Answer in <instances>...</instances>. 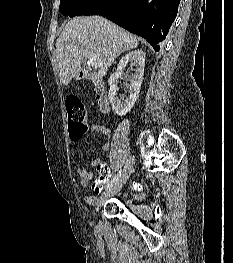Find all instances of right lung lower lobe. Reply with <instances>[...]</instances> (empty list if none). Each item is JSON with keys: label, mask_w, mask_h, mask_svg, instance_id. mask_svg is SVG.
<instances>
[{"label": "right lung lower lobe", "mask_w": 233, "mask_h": 263, "mask_svg": "<svg viewBox=\"0 0 233 263\" xmlns=\"http://www.w3.org/2000/svg\"><path fill=\"white\" fill-rule=\"evenodd\" d=\"M180 0H108L93 6L88 15H101L145 38L159 51L176 18Z\"/></svg>", "instance_id": "98d812e1"}]
</instances>
